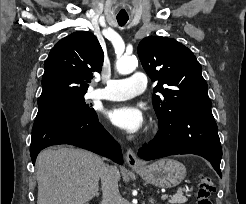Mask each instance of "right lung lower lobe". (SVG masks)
<instances>
[{"label": "right lung lower lobe", "instance_id": "obj_1", "mask_svg": "<svg viewBox=\"0 0 246 204\" xmlns=\"http://www.w3.org/2000/svg\"><path fill=\"white\" fill-rule=\"evenodd\" d=\"M58 144L81 147L123 164L119 144L98 122L95 112L83 115L60 107H39L30 146L33 164L42 149Z\"/></svg>", "mask_w": 246, "mask_h": 204}]
</instances>
